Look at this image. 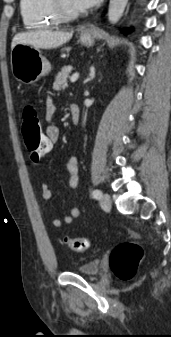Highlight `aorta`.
<instances>
[{
    "instance_id": "762f6f07",
    "label": "aorta",
    "mask_w": 171,
    "mask_h": 337,
    "mask_svg": "<svg viewBox=\"0 0 171 337\" xmlns=\"http://www.w3.org/2000/svg\"><path fill=\"white\" fill-rule=\"evenodd\" d=\"M128 0H110L108 8V20L115 24L121 18Z\"/></svg>"
}]
</instances>
